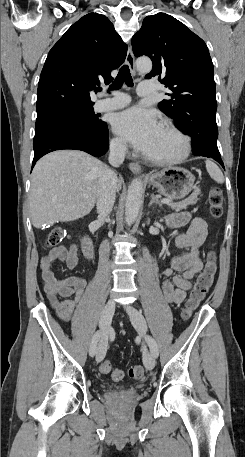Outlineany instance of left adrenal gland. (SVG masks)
<instances>
[{
    "label": "left adrenal gland",
    "instance_id": "obj_1",
    "mask_svg": "<svg viewBox=\"0 0 245 457\" xmlns=\"http://www.w3.org/2000/svg\"><path fill=\"white\" fill-rule=\"evenodd\" d=\"M153 202H156V204H159V206H162V202H160V200H158V198H155L154 194H151V200L149 202V206H151V204H153Z\"/></svg>",
    "mask_w": 245,
    "mask_h": 457
}]
</instances>
